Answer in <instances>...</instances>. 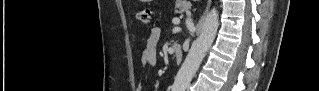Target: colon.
I'll use <instances>...</instances> for the list:
<instances>
[{
    "label": "colon",
    "mask_w": 319,
    "mask_h": 91,
    "mask_svg": "<svg viewBox=\"0 0 319 91\" xmlns=\"http://www.w3.org/2000/svg\"><path fill=\"white\" fill-rule=\"evenodd\" d=\"M138 18L142 23L146 25L152 24L153 22L152 10L148 7L141 9L138 13Z\"/></svg>",
    "instance_id": "obj_1"
}]
</instances>
